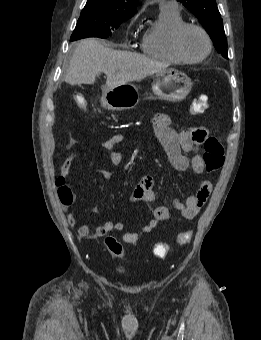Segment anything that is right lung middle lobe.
<instances>
[{
  "label": "right lung middle lobe",
  "instance_id": "1",
  "mask_svg": "<svg viewBox=\"0 0 261 340\" xmlns=\"http://www.w3.org/2000/svg\"><path fill=\"white\" fill-rule=\"evenodd\" d=\"M130 18L110 12L105 9L84 7L78 19L71 40H78L86 37L107 38L114 28Z\"/></svg>",
  "mask_w": 261,
  "mask_h": 340
}]
</instances>
